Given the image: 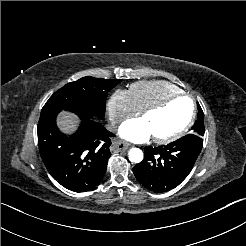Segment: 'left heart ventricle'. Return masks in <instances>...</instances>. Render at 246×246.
Returning a JSON list of instances; mask_svg holds the SVG:
<instances>
[{"instance_id": "obj_1", "label": "left heart ventricle", "mask_w": 246, "mask_h": 246, "mask_svg": "<svg viewBox=\"0 0 246 246\" xmlns=\"http://www.w3.org/2000/svg\"><path fill=\"white\" fill-rule=\"evenodd\" d=\"M191 112V103L187 98H178L164 109L149 113L142 121L153 137L168 136L180 129Z\"/></svg>"}]
</instances>
